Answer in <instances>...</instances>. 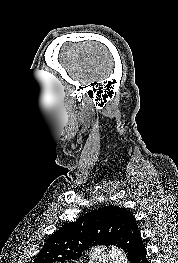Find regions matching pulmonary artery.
I'll return each instance as SVG.
<instances>
[{"label":"pulmonary artery","instance_id":"1","mask_svg":"<svg viewBox=\"0 0 178 263\" xmlns=\"http://www.w3.org/2000/svg\"><path fill=\"white\" fill-rule=\"evenodd\" d=\"M90 258L93 260V262H105L108 263V256L104 252V250L100 248H95L91 251Z\"/></svg>","mask_w":178,"mask_h":263}]
</instances>
